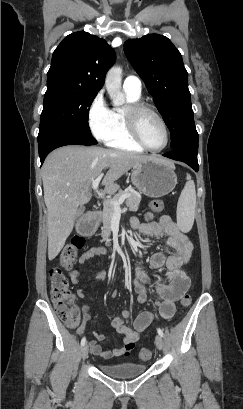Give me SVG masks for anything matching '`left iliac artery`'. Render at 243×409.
Returning a JSON list of instances; mask_svg holds the SVG:
<instances>
[{"instance_id":"1","label":"left iliac artery","mask_w":243,"mask_h":409,"mask_svg":"<svg viewBox=\"0 0 243 409\" xmlns=\"http://www.w3.org/2000/svg\"><path fill=\"white\" fill-rule=\"evenodd\" d=\"M157 332L161 337L164 336L163 331L160 328H157Z\"/></svg>"}]
</instances>
